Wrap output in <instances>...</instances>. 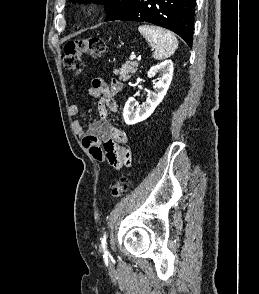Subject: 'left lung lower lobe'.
Here are the masks:
<instances>
[{
  "mask_svg": "<svg viewBox=\"0 0 259 294\" xmlns=\"http://www.w3.org/2000/svg\"><path fill=\"white\" fill-rule=\"evenodd\" d=\"M195 2L196 0H135L105 21L150 22L175 32L192 46Z\"/></svg>",
  "mask_w": 259,
  "mask_h": 294,
  "instance_id": "0a47b994",
  "label": "left lung lower lobe"
}]
</instances>
